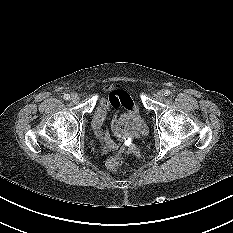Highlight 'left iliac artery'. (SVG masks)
I'll return each mask as SVG.
<instances>
[{
  "label": "left iliac artery",
  "instance_id": "left-iliac-artery-1",
  "mask_svg": "<svg viewBox=\"0 0 233 233\" xmlns=\"http://www.w3.org/2000/svg\"><path fill=\"white\" fill-rule=\"evenodd\" d=\"M170 93H171L170 90H165L164 95H165V96H169Z\"/></svg>",
  "mask_w": 233,
  "mask_h": 233
}]
</instances>
